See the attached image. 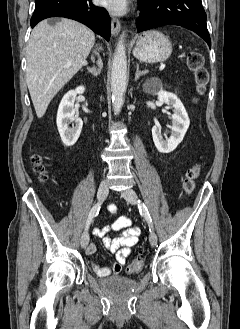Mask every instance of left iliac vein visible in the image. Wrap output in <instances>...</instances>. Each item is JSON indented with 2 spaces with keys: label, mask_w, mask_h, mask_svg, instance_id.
<instances>
[{
  "label": "left iliac vein",
  "mask_w": 240,
  "mask_h": 329,
  "mask_svg": "<svg viewBox=\"0 0 240 329\" xmlns=\"http://www.w3.org/2000/svg\"><path fill=\"white\" fill-rule=\"evenodd\" d=\"M122 197L132 205L137 204V195L135 191L131 188L125 189L121 192ZM149 242L151 246H155L157 244V236L154 232H151L149 235Z\"/></svg>",
  "instance_id": "left-iliac-vein-1"
}]
</instances>
